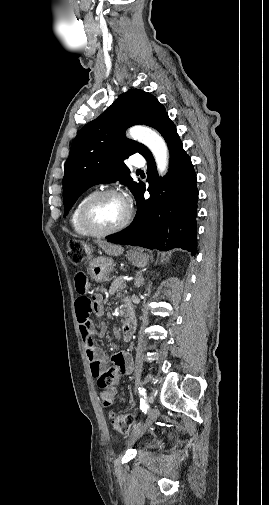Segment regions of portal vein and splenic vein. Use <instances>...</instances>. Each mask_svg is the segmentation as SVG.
<instances>
[{
    "label": "portal vein and splenic vein",
    "instance_id": "1",
    "mask_svg": "<svg viewBox=\"0 0 269 505\" xmlns=\"http://www.w3.org/2000/svg\"><path fill=\"white\" fill-rule=\"evenodd\" d=\"M125 287H126V283L123 285V288H125Z\"/></svg>",
    "mask_w": 269,
    "mask_h": 505
}]
</instances>
